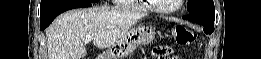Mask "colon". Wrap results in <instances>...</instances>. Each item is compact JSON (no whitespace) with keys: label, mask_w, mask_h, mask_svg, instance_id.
<instances>
[{"label":"colon","mask_w":261,"mask_h":59,"mask_svg":"<svg viewBox=\"0 0 261 59\" xmlns=\"http://www.w3.org/2000/svg\"><path fill=\"white\" fill-rule=\"evenodd\" d=\"M195 33L183 26H176L172 30V40L181 46L190 45L195 41ZM172 48L168 45H158L153 49L155 59H173Z\"/></svg>","instance_id":"colon-1"}]
</instances>
